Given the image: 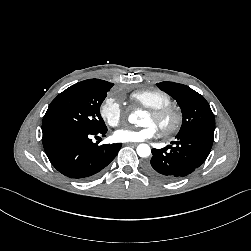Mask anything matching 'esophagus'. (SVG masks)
Returning <instances> with one entry per match:
<instances>
[{
  "label": "esophagus",
  "mask_w": 251,
  "mask_h": 251,
  "mask_svg": "<svg viewBox=\"0 0 251 251\" xmlns=\"http://www.w3.org/2000/svg\"><path fill=\"white\" fill-rule=\"evenodd\" d=\"M138 143H132V142H128L126 143V145H129V146H136Z\"/></svg>",
  "instance_id": "obj_1"
}]
</instances>
